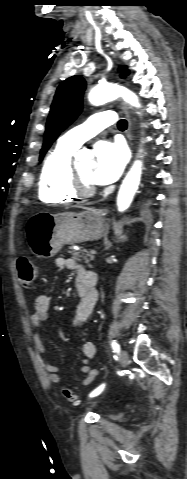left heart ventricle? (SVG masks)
Segmentation results:
<instances>
[{"label":"left heart ventricle","instance_id":"1","mask_svg":"<svg viewBox=\"0 0 187 479\" xmlns=\"http://www.w3.org/2000/svg\"><path fill=\"white\" fill-rule=\"evenodd\" d=\"M77 171L89 182L92 181L93 165L91 163L81 165L76 168Z\"/></svg>","mask_w":187,"mask_h":479}]
</instances>
